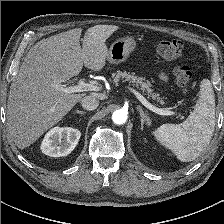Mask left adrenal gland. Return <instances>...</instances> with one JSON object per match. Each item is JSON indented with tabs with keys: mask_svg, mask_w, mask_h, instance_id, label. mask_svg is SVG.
Segmentation results:
<instances>
[{
	"mask_svg": "<svg viewBox=\"0 0 224 224\" xmlns=\"http://www.w3.org/2000/svg\"><path fill=\"white\" fill-rule=\"evenodd\" d=\"M137 110L140 112V117H141V130H143L144 123H145V121L148 120V117L144 114V111L141 108V106H137Z\"/></svg>",
	"mask_w": 224,
	"mask_h": 224,
	"instance_id": "a2214340",
	"label": "left adrenal gland"
}]
</instances>
